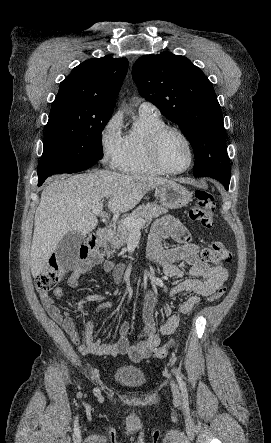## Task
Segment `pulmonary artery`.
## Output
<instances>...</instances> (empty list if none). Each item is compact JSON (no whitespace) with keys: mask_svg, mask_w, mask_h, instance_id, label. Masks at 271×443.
<instances>
[{"mask_svg":"<svg viewBox=\"0 0 271 443\" xmlns=\"http://www.w3.org/2000/svg\"><path fill=\"white\" fill-rule=\"evenodd\" d=\"M139 112L141 113H151L154 115H159L160 112L158 108L149 101H142L139 105Z\"/></svg>","mask_w":271,"mask_h":443,"instance_id":"e3ab8cb5","label":"pulmonary artery"}]
</instances>
